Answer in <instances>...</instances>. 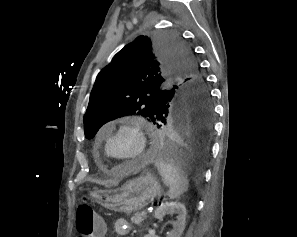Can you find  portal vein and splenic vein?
Instances as JSON below:
<instances>
[{
  "label": "portal vein and splenic vein",
  "instance_id": "1",
  "mask_svg": "<svg viewBox=\"0 0 297 237\" xmlns=\"http://www.w3.org/2000/svg\"><path fill=\"white\" fill-rule=\"evenodd\" d=\"M145 214H146V211L143 212V215H145Z\"/></svg>",
  "mask_w": 297,
  "mask_h": 237
}]
</instances>
